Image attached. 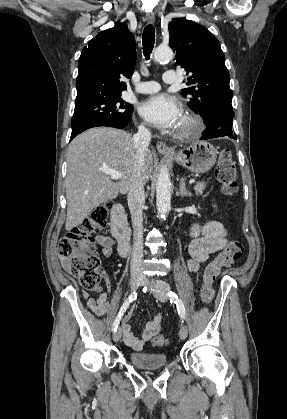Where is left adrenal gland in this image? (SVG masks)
Returning a JSON list of instances; mask_svg holds the SVG:
<instances>
[{"mask_svg":"<svg viewBox=\"0 0 287 419\" xmlns=\"http://www.w3.org/2000/svg\"><path fill=\"white\" fill-rule=\"evenodd\" d=\"M177 196H191V192L187 189L186 185H185V179L182 178L180 180V186H179V192L177 193Z\"/></svg>","mask_w":287,"mask_h":419,"instance_id":"1","label":"left adrenal gland"}]
</instances>
